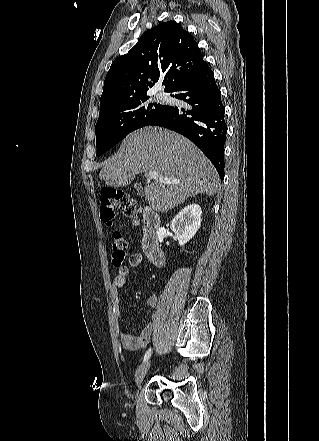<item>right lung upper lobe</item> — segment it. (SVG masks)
I'll return each instance as SVG.
<instances>
[{
	"instance_id": "right-lung-upper-lobe-1",
	"label": "right lung upper lobe",
	"mask_w": 319,
	"mask_h": 441,
	"mask_svg": "<svg viewBox=\"0 0 319 441\" xmlns=\"http://www.w3.org/2000/svg\"><path fill=\"white\" fill-rule=\"evenodd\" d=\"M204 62L194 38L174 21L146 31L138 43L111 65L100 98V111L147 97V91L164 77L170 92Z\"/></svg>"
}]
</instances>
